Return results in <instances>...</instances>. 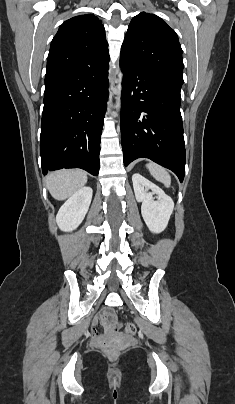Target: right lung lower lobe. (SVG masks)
I'll return each instance as SVG.
<instances>
[{
    "label": "right lung lower lobe",
    "mask_w": 235,
    "mask_h": 404,
    "mask_svg": "<svg viewBox=\"0 0 235 404\" xmlns=\"http://www.w3.org/2000/svg\"><path fill=\"white\" fill-rule=\"evenodd\" d=\"M108 68L107 62L45 77L40 139L43 174L81 168L98 175Z\"/></svg>",
    "instance_id": "98d812e1"
}]
</instances>
